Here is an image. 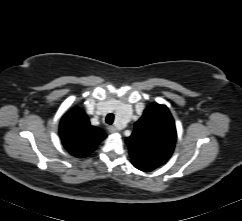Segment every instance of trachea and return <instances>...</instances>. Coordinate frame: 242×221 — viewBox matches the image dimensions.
<instances>
[{"label": "trachea", "instance_id": "3493384b", "mask_svg": "<svg viewBox=\"0 0 242 221\" xmlns=\"http://www.w3.org/2000/svg\"><path fill=\"white\" fill-rule=\"evenodd\" d=\"M113 121H114V114L109 113V114L106 116V123H107V124H112Z\"/></svg>", "mask_w": 242, "mask_h": 221}]
</instances>
